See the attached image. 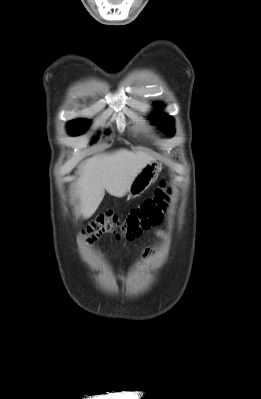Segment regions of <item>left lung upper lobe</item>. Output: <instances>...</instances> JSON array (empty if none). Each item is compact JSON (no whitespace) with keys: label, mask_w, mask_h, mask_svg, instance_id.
<instances>
[{"label":"left lung upper lobe","mask_w":261,"mask_h":399,"mask_svg":"<svg viewBox=\"0 0 261 399\" xmlns=\"http://www.w3.org/2000/svg\"><path fill=\"white\" fill-rule=\"evenodd\" d=\"M161 107L160 104L157 105ZM151 123L159 124L160 129L167 135L172 137L174 135V121L173 118L166 114L156 113L154 114L151 119Z\"/></svg>","instance_id":"1"}]
</instances>
